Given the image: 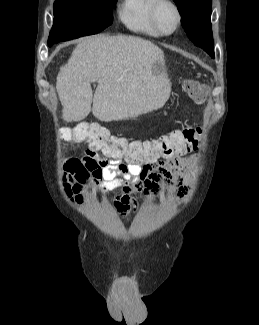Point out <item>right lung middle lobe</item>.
Instances as JSON below:
<instances>
[{
  "instance_id": "1",
  "label": "right lung middle lobe",
  "mask_w": 259,
  "mask_h": 325,
  "mask_svg": "<svg viewBox=\"0 0 259 325\" xmlns=\"http://www.w3.org/2000/svg\"><path fill=\"white\" fill-rule=\"evenodd\" d=\"M116 1L55 0L48 46L101 32L112 24V6Z\"/></svg>"
}]
</instances>
